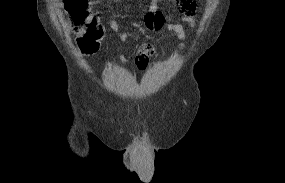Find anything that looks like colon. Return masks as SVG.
Here are the masks:
<instances>
[{"mask_svg":"<svg viewBox=\"0 0 285 183\" xmlns=\"http://www.w3.org/2000/svg\"><path fill=\"white\" fill-rule=\"evenodd\" d=\"M66 12L69 16L72 31L78 35L77 44L85 54L95 53L104 36L103 26L90 12L89 0H65ZM192 9H186L191 12ZM147 64H138L139 69H144Z\"/></svg>","mask_w":285,"mask_h":183,"instance_id":"colon-1","label":"colon"}]
</instances>
